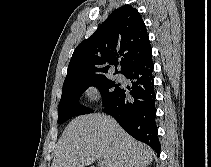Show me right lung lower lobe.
Instances as JSON below:
<instances>
[{"mask_svg": "<svg viewBox=\"0 0 211 167\" xmlns=\"http://www.w3.org/2000/svg\"><path fill=\"white\" fill-rule=\"evenodd\" d=\"M153 69L152 55L127 69L123 75L131 80V89H121L102 111L113 116L127 133L159 155ZM128 94L133 99H128Z\"/></svg>", "mask_w": 211, "mask_h": 167, "instance_id": "1", "label": "right lung lower lobe"}]
</instances>
